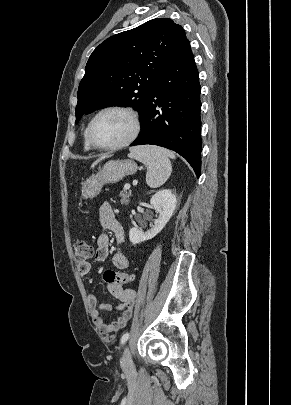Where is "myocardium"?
<instances>
[{
	"mask_svg": "<svg viewBox=\"0 0 291 405\" xmlns=\"http://www.w3.org/2000/svg\"><path fill=\"white\" fill-rule=\"evenodd\" d=\"M122 112L126 115H128L132 121V131L130 133V135L123 140L120 143L114 144V145H110V146H102V145H98L92 137V127L95 123V121L104 113L107 112ZM141 130V121H140V116L138 114V112L136 110H134L131 107L128 106H123V105H111V106H107L104 107L102 109H100L89 121L87 127H86V139L88 144L90 145V147L92 149L95 150H99V151H116V150H120L123 149L127 146H129L131 143H133L136 138L138 137L139 133Z\"/></svg>",
	"mask_w": 291,
	"mask_h": 405,
	"instance_id": "f54148a6",
	"label": "myocardium"
}]
</instances>
